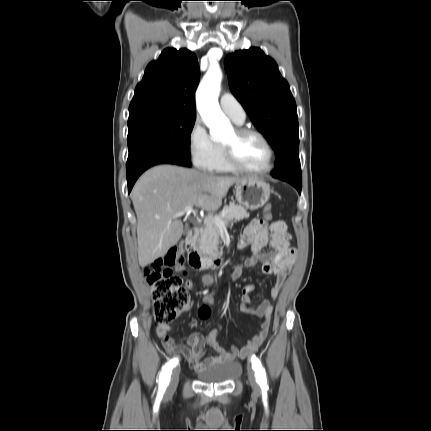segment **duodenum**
Instances as JSON below:
<instances>
[{"mask_svg":"<svg viewBox=\"0 0 431 431\" xmlns=\"http://www.w3.org/2000/svg\"><path fill=\"white\" fill-rule=\"evenodd\" d=\"M199 229L193 228L185 240L189 265L196 270L215 269L222 265V259L217 254H204L197 248Z\"/></svg>","mask_w":431,"mask_h":431,"instance_id":"duodenum-1","label":"duodenum"}]
</instances>
